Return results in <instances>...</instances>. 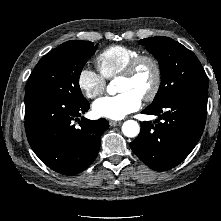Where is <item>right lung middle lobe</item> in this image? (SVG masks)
<instances>
[{
    "label": "right lung middle lobe",
    "instance_id": "right-lung-middle-lobe-1",
    "mask_svg": "<svg viewBox=\"0 0 221 221\" xmlns=\"http://www.w3.org/2000/svg\"><path fill=\"white\" fill-rule=\"evenodd\" d=\"M95 48L90 41L71 40L53 49L35 66L25 93H41L73 104L86 101L79 87V77Z\"/></svg>",
    "mask_w": 221,
    "mask_h": 221
}]
</instances>
